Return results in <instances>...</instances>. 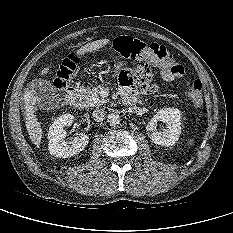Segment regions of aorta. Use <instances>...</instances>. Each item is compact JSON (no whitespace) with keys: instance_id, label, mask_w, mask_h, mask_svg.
I'll use <instances>...</instances> for the list:
<instances>
[{"instance_id":"obj_1","label":"aorta","mask_w":233,"mask_h":233,"mask_svg":"<svg viewBox=\"0 0 233 233\" xmlns=\"http://www.w3.org/2000/svg\"><path fill=\"white\" fill-rule=\"evenodd\" d=\"M121 121L120 119V116L116 113H111L108 115L107 117V122L111 125V126H114V125H117L119 124Z\"/></svg>"}]
</instances>
